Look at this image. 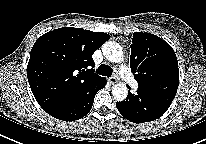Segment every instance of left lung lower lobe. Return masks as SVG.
Instances as JSON below:
<instances>
[{"label":"left lung lower lobe","instance_id":"obj_1","mask_svg":"<svg viewBox=\"0 0 206 144\" xmlns=\"http://www.w3.org/2000/svg\"><path fill=\"white\" fill-rule=\"evenodd\" d=\"M147 88L139 87L137 94L128 93L125 101L117 102L116 107L123 117L133 123L150 122L161 117L169 108L168 96L151 97Z\"/></svg>","mask_w":206,"mask_h":144}]
</instances>
